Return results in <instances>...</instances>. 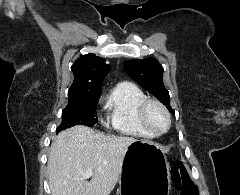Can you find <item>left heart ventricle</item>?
<instances>
[{"label": "left heart ventricle", "mask_w": 240, "mask_h": 195, "mask_svg": "<svg viewBox=\"0 0 240 195\" xmlns=\"http://www.w3.org/2000/svg\"><path fill=\"white\" fill-rule=\"evenodd\" d=\"M148 116L151 125L156 130L161 131L166 127V118L157 107H151L149 109Z\"/></svg>", "instance_id": "b2bd125f"}]
</instances>
